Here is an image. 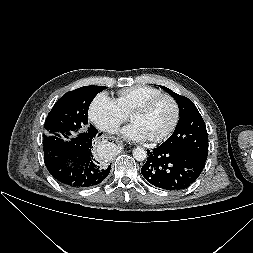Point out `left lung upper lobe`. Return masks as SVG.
Returning <instances> with one entry per match:
<instances>
[{
    "mask_svg": "<svg viewBox=\"0 0 253 253\" xmlns=\"http://www.w3.org/2000/svg\"><path fill=\"white\" fill-rule=\"evenodd\" d=\"M160 87L176 99L180 116L173 134L161 145L191 153L206 161L208 134L198 109L188 98L176 94L164 86Z\"/></svg>",
    "mask_w": 253,
    "mask_h": 253,
    "instance_id": "1",
    "label": "left lung upper lobe"
}]
</instances>
